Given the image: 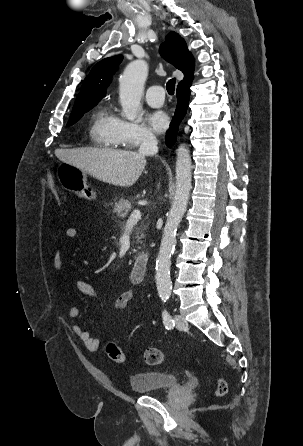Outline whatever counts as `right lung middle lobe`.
Returning <instances> with one entry per match:
<instances>
[{
    "label": "right lung middle lobe",
    "instance_id": "obj_1",
    "mask_svg": "<svg viewBox=\"0 0 303 446\" xmlns=\"http://www.w3.org/2000/svg\"><path fill=\"white\" fill-rule=\"evenodd\" d=\"M96 104L88 105L85 107L77 108L72 111L70 115V119L67 123V126L73 125L77 120L81 118L84 112H88L90 109H92Z\"/></svg>",
    "mask_w": 303,
    "mask_h": 446
}]
</instances>
